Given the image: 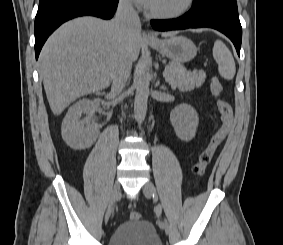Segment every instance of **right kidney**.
Instances as JSON below:
<instances>
[{"label": "right kidney", "instance_id": "obj_1", "mask_svg": "<svg viewBox=\"0 0 283 245\" xmlns=\"http://www.w3.org/2000/svg\"><path fill=\"white\" fill-rule=\"evenodd\" d=\"M92 111L93 102L89 99H81L69 108L62 122L61 134L71 148L76 150L89 148L97 139L99 129L89 118ZM82 113L88 114L85 120L80 119Z\"/></svg>", "mask_w": 283, "mask_h": 245}]
</instances>
